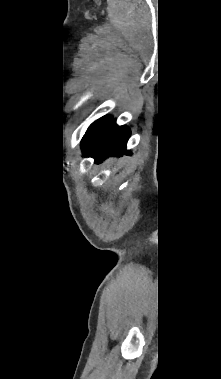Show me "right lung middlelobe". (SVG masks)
<instances>
[{
	"mask_svg": "<svg viewBox=\"0 0 221 379\" xmlns=\"http://www.w3.org/2000/svg\"><path fill=\"white\" fill-rule=\"evenodd\" d=\"M112 118L109 116H104L94 122L87 130L86 134L82 139V143H96L100 137L103 135L107 127L111 124Z\"/></svg>",
	"mask_w": 221,
	"mask_h": 379,
	"instance_id": "1",
	"label": "right lung middle lobe"
}]
</instances>
